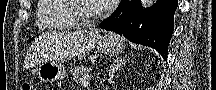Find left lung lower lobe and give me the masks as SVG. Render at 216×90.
I'll return each mask as SVG.
<instances>
[{
    "label": "left lung lower lobe",
    "instance_id": "left-lung-lower-lobe-1",
    "mask_svg": "<svg viewBox=\"0 0 216 90\" xmlns=\"http://www.w3.org/2000/svg\"><path fill=\"white\" fill-rule=\"evenodd\" d=\"M177 5V0H157L152 7L143 9L140 0H122L119 8L99 27L153 47L166 60Z\"/></svg>",
    "mask_w": 216,
    "mask_h": 90
}]
</instances>
